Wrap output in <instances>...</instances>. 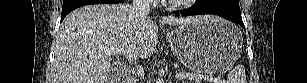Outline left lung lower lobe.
<instances>
[{
  "label": "left lung lower lobe",
  "instance_id": "obj_1",
  "mask_svg": "<svg viewBox=\"0 0 307 83\" xmlns=\"http://www.w3.org/2000/svg\"><path fill=\"white\" fill-rule=\"evenodd\" d=\"M176 13L183 16L214 14L237 22L244 28L239 5L229 0H196L190 8L176 11Z\"/></svg>",
  "mask_w": 307,
  "mask_h": 83
}]
</instances>
